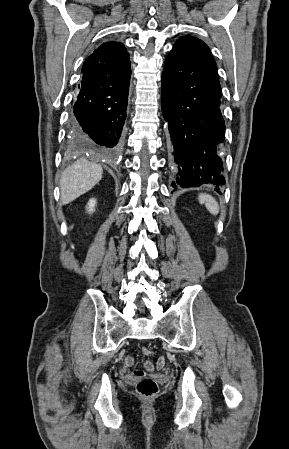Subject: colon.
<instances>
[{
	"label": "colon",
	"mask_w": 289,
	"mask_h": 449,
	"mask_svg": "<svg viewBox=\"0 0 289 449\" xmlns=\"http://www.w3.org/2000/svg\"><path fill=\"white\" fill-rule=\"evenodd\" d=\"M143 354L146 356H150L153 354V351L150 348L144 347L142 349ZM138 377L140 378L136 385L137 392L143 397H152L158 391L157 382L145 375L144 372H139Z\"/></svg>",
	"instance_id": "1"
}]
</instances>
